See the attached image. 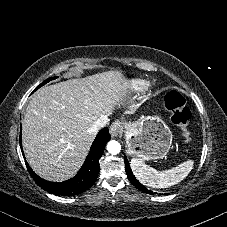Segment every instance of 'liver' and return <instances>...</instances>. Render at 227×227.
Segmentation results:
<instances>
[{
  "label": "liver",
  "mask_w": 227,
  "mask_h": 227,
  "mask_svg": "<svg viewBox=\"0 0 227 227\" xmlns=\"http://www.w3.org/2000/svg\"><path fill=\"white\" fill-rule=\"evenodd\" d=\"M119 71L70 79L37 90L22 121L26 158L36 174L62 182L82 166L97 131L95 121L127 97ZM133 112L132 107L126 114Z\"/></svg>",
  "instance_id": "obj_1"
}]
</instances>
